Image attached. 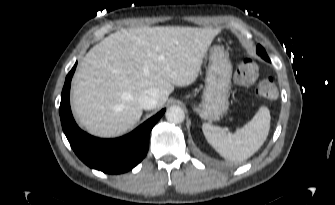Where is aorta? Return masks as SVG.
Instances as JSON below:
<instances>
[{
    "label": "aorta",
    "instance_id": "762f6f07",
    "mask_svg": "<svg viewBox=\"0 0 335 205\" xmlns=\"http://www.w3.org/2000/svg\"><path fill=\"white\" fill-rule=\"evenodd\" d=\"M166 119L174 124H179L184 121L185 114L181 107L171 106L165 113Z\"/></svg>",
    "mask_w": 335,
    "mask_h": 205
}]
</instances>
